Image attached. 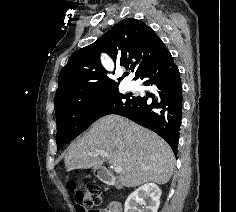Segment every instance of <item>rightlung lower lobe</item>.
Returning <instances> with one entry per match:
<instances>
[{"label":"right lung lower lobe","mask_w":236,"mask_h":212,"mask_svg":"<svg viewBox=\"0 0 236 212\" xmlns=\"http://www.w3.org/2000/svg\"><path fill=\"white\" fill-rule=\"evenodd\" d=\"M146 86H153L154 94L137 96L113 114L125 116L160 135L177 155L182 116V85L178 67L164 47L139 77Z\"/></svg>","instance_id":"obj_1"}]
</instances>
